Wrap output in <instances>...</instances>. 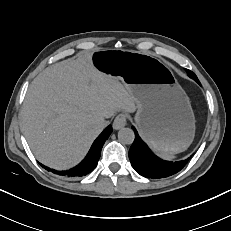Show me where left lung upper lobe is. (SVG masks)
<instances>
[{
  "mask_svg": "<svg viewBox=\"0 0 231 231\" xmlns=\"http://www.w3.org/2000/svg\"><path fill=\"white\" fill-rule=\"evenodd\" d=\"M186 71H187V74H188V76H189L190 78L194 79L198 84H200V83H199V80H198V78H197V76H196L192 71H190V70H188V69H186Z\"/></svg>",
  "mask_w": 231,
  "mask_h": 231,
  "instance_id": "5c2ea615",
  "label": "left lung upper lobe"
}]
</instances>
